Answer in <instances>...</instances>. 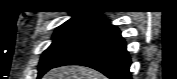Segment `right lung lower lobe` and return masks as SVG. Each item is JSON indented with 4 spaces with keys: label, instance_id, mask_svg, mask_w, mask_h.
Segmentation results:
<instances>
[{
    "label": "right lung lower lobe",
    "instance_id": "98d812e1",
    "mask_svg": "<svg viewBox=\"0 0 177 79\" xmlns=\"http://www.w3.org/2000/svg\"><path fill=\"white\" fill-rule=\"evenodd\" d=\"M131 61L121 32L103 18L98 27L52 68L63 65H84L110 79H131Z\"/></svg>",
    "mask_w": 177,
    "mask_h": 79
}]
</instances>
